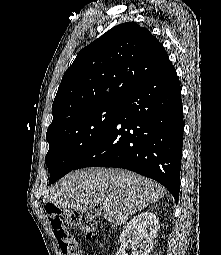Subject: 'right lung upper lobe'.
I'll use <instances>...</instances> for the list:
<instances>
[{
    "label": "right lung upper lobe",
    "instance_id": "obj_1",
    "mask_svg": "<svg viewBox=\"0 0 221 255\" xmlns=\"http://www.w3.org/2000/svg\"><path fill=\"white\" fill-rule=\"evenodd\" d=\"M168 61L162 44L136 22L111 28L83 48L65 72L49 128L79 110L120 103Z\"/></svg>",
    "mask_w": 221,
    "mask_h": 255
}]
</instances>
